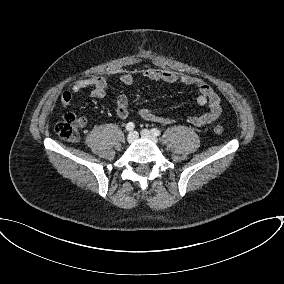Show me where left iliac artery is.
Listing matches in <instances>:
<instances>
[{
  "label": "left iliac artery",
  "instance_id": "44dca946",
  "mask_svg": "<svg viewBox=\"0 0 284 284\" xmlns=\"http://www.w3.org/2000/svg\"><path fill=\"white\" fill-rule=\"evenodd\" d=\"M152 133L155 135V136H159L161 134L160 130L157 129V128H153L152 129Z\"/></svg>",
  "mask_w": 284,
  "mask_h": 284
}]
</instances>
